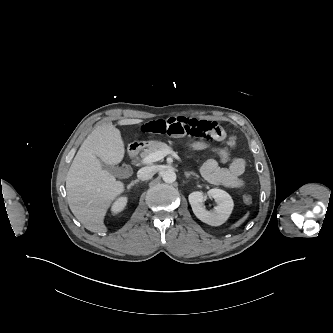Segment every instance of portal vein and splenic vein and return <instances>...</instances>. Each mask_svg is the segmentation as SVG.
Masks as SVG:
<instances>
[{"label":"portal vein and splenic vein","instance_id":"1","mask_svg":"<svg viewBox=\"0 0 333 333\" xmlns=\"http://www.w3.org/2000/svg\"><path fill=\"white\" fill-rule=\"evenodd\" d=\"M172 155L174 158L178 159L179 161H182L180 159V157L177 155L176 152L172 151V150H168V149H164V150H159V151H156L154 153H151L147 156H145L143 159H142V163L143 164H151L153 162H157L161 159H163L166 155Z\"/></svg>","mask_w":333,"mask_h":333}]
</instances>
